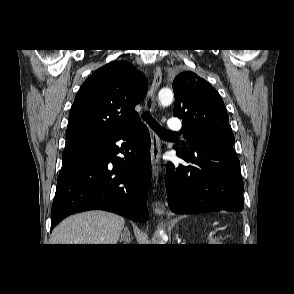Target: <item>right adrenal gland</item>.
<instances>
[{
    "instance_id": "right-adrenal-gland-1",
    "label": "right adrenal gland",
    "mask_w": 294,
    "mask_h": 294,
    "mask_svg": "<svg viewBox=\"0 0 294 294\" xmlns=\"http://www.w3.org/2000/svg\"><path fill=\"white\" fill-rule=\"evenodd\" d=\"M130 241H131L130 231H129L128 227L126 226L124 228L123 234H121L120 242H124V244H129Z\"/></svg>"
}]
</instances>
